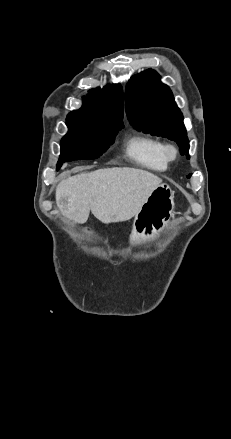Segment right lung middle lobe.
I'll return each instance as SVG.
<instances>
[{"mask_svg":"<svg viewBox=\"0 0 231 439\" xmlns=\"http://www.w3.org/2000/svg\"><path fill=\"white\" fill-rule=\"evenodd\" d=\"M68 133L61 140L57 170L65 162L96 159L113 143L123 126H106L85 119H67Z\"/></svg>","mask_w":231,"mask_h":439,"instance_id":"dd1d6c3e","label":"right lung middle lobe"}]
</instances>
